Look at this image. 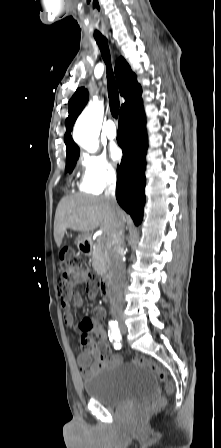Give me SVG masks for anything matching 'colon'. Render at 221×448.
<instances>
[{"label": "colon", "instance_id": "colon-1", "mask_svg": "<svg viewBox=\"0 0 221 448\" xmlns=\"http://www.w3.org/2000/svg\"><path fill=\"white\" fill-rule=\"evenodd\" d=\"M58 285L61 291H66L72 282L80 280V260L72 247H65L60 253L59 271H58ZM93 293V290H91ZM85 328L90 329L91 325L85 323ZM133 362L140 366L147 367L150 371L155 373L158 378L163 382L164 388L167 391L172 389L171 383L167 380L165 371L155 362L146 358H139L133 360ZM165 402L164 398H160L153 402H150L140 411L139 417L144 420L155 413Z\"/></svg>", "mask_w": 221, "mask_h": 448}]
</instances>
